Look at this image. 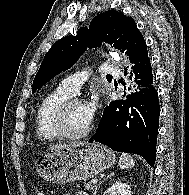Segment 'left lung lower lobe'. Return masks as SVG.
I'll return each instance as SVG.
<instances>
[{
    "label": "left lung lower lobe",
    "mask_w": 189,
    "mask_h": 195,
    "mask_svg": "<svg viewBox=\"0 0 189 195\" xmlns=\"http://www.w3.org/2000/svg\"><path fill=\"white\" fill-rule=\"evenodd\" d=\"M130 79L135 82L131 92L126 99L112 101L105 108L89 142H100L115 151L141 155L154 166L160 105L149 58L132 67Z\"/></svg>",
    "instance_id": "1"
}]
</instances>
